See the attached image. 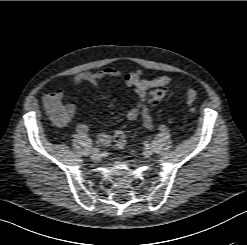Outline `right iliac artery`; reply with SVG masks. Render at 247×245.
Returning <instances> with one entry per match:
<instances>
[{
  "mask_svg": "<svg viewBox=\"0 0 247 245\" xmlns=\"http://www.w3.org/2000/svg\"><path fill=\"white\" fill-rule=\"evenodd\" d=\"M99 147L97 146V147H94L93 149H92V152H99Z\"/></svg>",
  "mask_w": 247,
  "mask_h": 245,
  "instance_id": "obj_1",
  "label": "right iliac artery"
}]
</instances>
